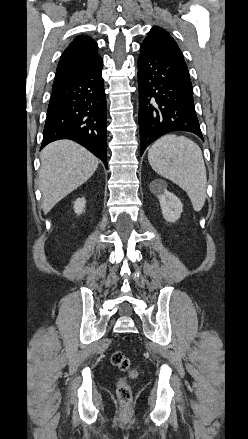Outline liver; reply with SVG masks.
<instances>
[{
    "label": "liver",
    "mask_w": 248,
    "mask_h": 439,
    "mask_svg": "<svg viewBox=\"0 0 248 439\" xmlns=\"http://www.w3.org/2000/svg\"><path fill=\"white\" fill-rule=\"evenodd\" d=\"M39 188L47 214L60 200L85 183L99 161L81 145L70 140L48 144L40 153Z\"/></svg>",
    "instance_id": "6515ba94"
}]
</instances>
